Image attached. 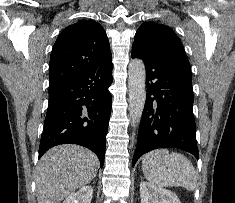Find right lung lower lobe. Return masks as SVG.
Instances as JSON below:
<instances>
[{"label": "right lung lower lobe", "mask_w": 235, "mask_h": 203, "mask_svg": "<svg viewBox=\"0 0 235 203\" xmlns=\"http://www.w3.org/2000/svg\"><path fill=\"white\" fill-rule=\"evenodd\" d=\"M112 59L74 79L49 88V104L39 146V158L59 144H78L104 162L111 113Z\"/></svg>", "instance_id": "1"}]
</instances>
